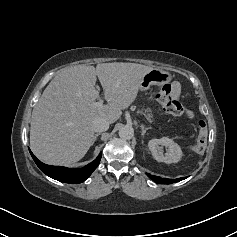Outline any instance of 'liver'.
I'll use <instances>...</instances> for the list:
<instances>
[{
  "label": "liver",
  "instance_id": "liver-1",
  "mask_svg": "<svg viewBox=\"0 0 237 237\" xmlns=\"http://www.w3.org/2000/svg\"><path fill=\"white\" fill-rule=\"evenodd\" d=\"M152 67L136 63L76 65L61 70L32 111L30 147L41 161L70 165L82 159L94 139L93 122H116L136 99L143 76ZM99 79L106 105L95 107Z\"/></svg>",
  "mask_w": 237,
  "mask_h": 237
}]
</instances>
